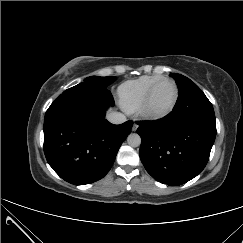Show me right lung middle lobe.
Returning <instances> with one entry per match:
<instances>
[{"mask_svg":"<svg viewBox=\"0 0 243 243\" xmlns=\"http://www.w3.org/2000/svg\"><path fill=\"white\" fill-rule=\"evenodd\" d=\"M116 80V77H98V76H91L84 79L85 83H89L96 87L107 88L108 85L113 83Z\"/></svg>","mask_w":243,"mask_h":243,"instance_id":"1","label":"right lung middle lobe"}]
</instances>
